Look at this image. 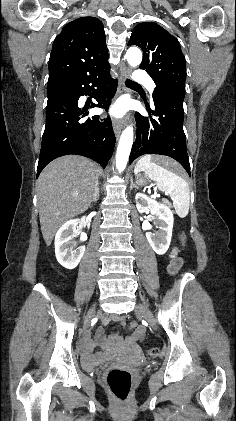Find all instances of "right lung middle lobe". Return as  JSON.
Here are the masks:
<instances>
[{"label": "right lung middle lobe", "mask_w": 236, "mask_h": 421, "mask_svg": "<svg viewBox=\"0 0 236 421\" xmlns=\"http://www.w3.org/2000/svg\"><path fill=\"white\" fill-rule=\"evenodd\" d=\"M47 103H51L60 99L68 98L67 93L60 87L47 86Z\"/></svg>", "instance_id": "dd1d6c3e"}]
</instances>
